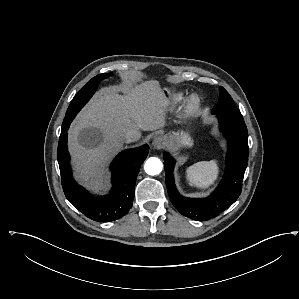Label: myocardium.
I'll use <instances>...</instances> for the list:
<instances>
[{
  "label": "myocardium",
  "mask_w": 299,
  "mask_h": 299,
  "mask_svg": "<svg viewBox=\"0 0 299 299\" xmlns=\"http://www.w3.org/2000/svg\"><path fill=\"white\" fill-rule=\"evenodd\" d=\"M200 105V99L197 95H192L187 101V109L190 112L197 110Z\"/></svg>",
  "instance_id": "obj_1"
}]
</instances>
